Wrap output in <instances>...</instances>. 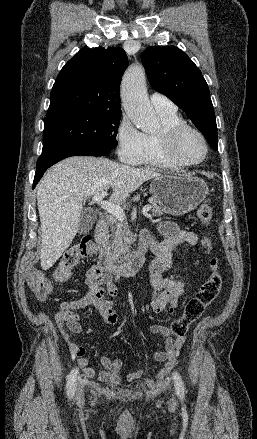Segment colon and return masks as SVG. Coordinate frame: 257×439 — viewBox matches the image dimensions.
Masks as SVG:
<instances>
[{"instance_id": "1", "label": "colon", "mask_w": 257, "mask_h": 439, "mask_svg": "<svg viewBox=\"0 0 257 439\" xmlns=\"http://www.w3.org/2000/svg\"><path fill=\"white\" fill-rule=\"evenodd\" d=\"M213 209L209 200L204 201L197 210V218L203 226H207L212 219ZM204 245L210 246L208 239H204ZM96 252V246L90 235H83L81 240L73 245L63 255L53 279H49L39 270L32 269L27 275L28 285L33 294L40 299H45L53 294L55 284L67 281L71 276V270L79 262ZM211 272L202 283L195 296L186 304L183 314L175 319L171 325V333L175 337L185 335L189 326L201 318L205 310L217 298L222 287V276L219 271V261L212 258L210 261Z\"/></svg>"}]
</instances>
